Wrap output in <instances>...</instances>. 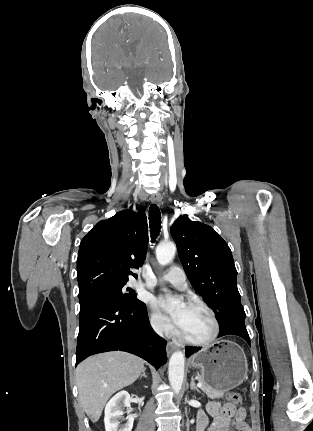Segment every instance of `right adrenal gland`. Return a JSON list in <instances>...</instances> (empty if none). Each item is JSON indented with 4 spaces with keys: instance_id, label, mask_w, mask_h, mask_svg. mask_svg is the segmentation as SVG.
<instances>
[{
    "instance_id": "1",
    "label": "right adrenal gland",
    "mask_w": 313,
    "mask_h": 431,
    "mask_svg": "<svg viewBox=\"0 0 313 431\" xmlns=\"http://www.w3.org/2000/svg\"><path fill=\"white\" fill-rule=\"evenodd\" d=\"M145 370H146V368H144L143 369V371H142V374H141V376H140V378H147V375L145 374Z\"/></svg>"
}]
</instances>
